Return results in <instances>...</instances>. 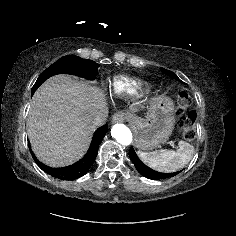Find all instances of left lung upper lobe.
Masks as SVG:
<instances>
[{
	"mask_svg": "<svg viewBox=\"0 0 236 236\" xmlns=\"http://www.w3.org/2000/svg\"><path fill=\"white\" fill-rule=\"evenodd\" d=\"M161 70H162L166 75H168V76H170V77H172V78H174V79H176V80H178V81L181 82V80H180L173 72H171V71H169V70H166V69H164V68H162ZM150 171H152V170H150ZM150 174H154V172H150Z\"/></svg>",
	"mask_w": 236,
	"mask_h": 236,
	"instance_id": "5c2ea615",
	"label": "left lung upper lobe"
}]
</instances>
